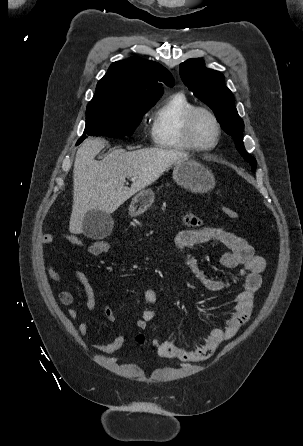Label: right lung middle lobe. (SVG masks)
Segmentation results:
<instances>
[{
	"mask_svg": "<svg viewBox=\"0 0 303 446\" xmlns=\"http://www.w3.org/2000/svg\"><path fill=\"white\" fill-rule=\"evenodd\" d=\"M150 107L125 108V107H91L86 110V126L84 134L78 140L80 144L87 135L108 137H123L133 134L140 124L142 115Z\"/></svg>",
	"mask_w": 303,
	"mask_h": 446,
	"instance_id": "1",
	"label": "right lung middle lobe"
}]
</instances>
